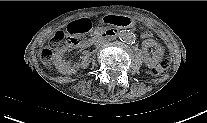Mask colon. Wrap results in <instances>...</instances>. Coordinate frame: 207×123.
<instances>
[{"mask_svg": "<svg viewBox=\"0 0 207 123\" xmlns=\"http://www.w3.org/2000/svg\"><path fill=\"white\" fill-rule=\"evenodd\" d=\"M58 41L59 40H57L56 42ZM170 65V60L168 58H164L158 63L156 67L151 69L150 74L155 77L161 76L169 69Z\"/></svg>", "mask_w": 207, "mask_h": 123, "instance_id": "1", "label": "colon"}]
</instances>
